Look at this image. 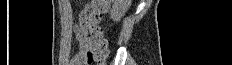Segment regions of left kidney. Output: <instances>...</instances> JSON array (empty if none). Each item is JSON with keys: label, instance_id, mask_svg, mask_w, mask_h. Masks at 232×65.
I'll return each instance as SVG.
<instances>
[{"label": "left kidney", "instance_id": "5707ae66", "mask_svg": "<svg viewBox=\"0 0 232 65\" xmlns=\"http://www.w3.org/2000/svg\"><path fill=\"white\" fill-rule=\"evenodd\" d=\"M131 0H115L110 10V17L114 21H120L130 7Z\"/></svg>", "mask_w": 232, "mask_h": 65}]
</instances>
